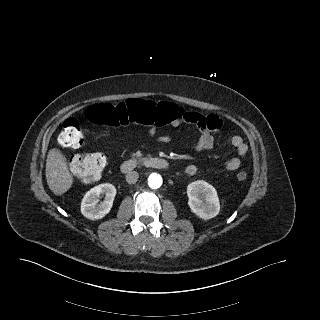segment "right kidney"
<instances>
[{"label": "right kidney", "mask_w": 320, "mask_h": 320, "mask_svg": "<svg viewBox=\"0 0 320 320\" xmlns=\"http://www.w3.org/2000/svg\"><path fill=\"white\" fill-rule=\"evenodd\" d=\"M105 195L102 202L99 203V198ZM116 196V188L110 183L100 184L90 189L82 199L81 213L84 217L90 220H98L107 215Z\"/></svg>", "instance_id": "ca27d5eb"}]
</instances>
